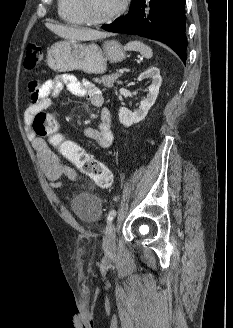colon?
<instances>
[{
    "label": "colon",
    "mask_w": 233,
    "mask_h": 328,
    "mask_svg": "<svg viewBox=\"0 0 233 328\" xmlns=\"http://www.w3.org/2000/svg\"><path fill=\"white\" fill-rule=\"evenodd\" d=\"M43 50L41 46L31 43L26 50L24 67L27 70L35 69L41 62ZM33 131L36 136L48 139L50 144L57 149L71 163L88 175L99 187L108 188L112 185L111 171L102 163L89 156L74 142L65 140L58 133V116L51 112L40 111L32 120Z\"/></svg>",
    "instance_id": "obj_1"
}]
</instances>
